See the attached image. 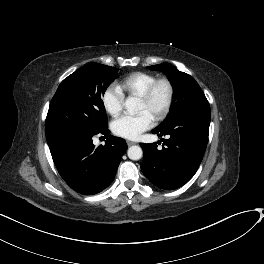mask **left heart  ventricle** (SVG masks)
<instances>
[{"label":"left heart ventricle","mask_w":264,"mask_h":264,"mask_svg":"<svg viewBox=\"0 0 264 264\" xmlns=\"http://www.w3.org/2000/svg\"><path fill=\"white\" fill-rule=\"evenodd\" d=\"M167 96V89L164 85L158 87L152 102L147 103L142 100L139 102V112H148L151 116L154 115L163 107Z\"/></svg>","instance_id":"obj_1"}]
</instances>
